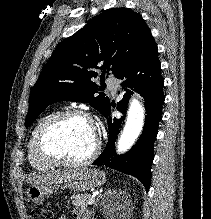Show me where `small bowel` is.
I'll return each mask as SVG.
<instances>
[{
	"mask_svg": "<svg viewBox=\"0 0 211 219\" xmlns=\"http://www.w3.org/2000/svg\"><path fill=\"white\" fill-rule=\"evenodd\" d=\"M73 215H74V219H90V215L81 209H75ZM60 219H65V218L61 217Z\"/></svg>",
	"mask_w": 211,
	"mask_h": 219,
	"instance_id": "c3829d8e",
	"label": "small bowel"
}]
</instances>
